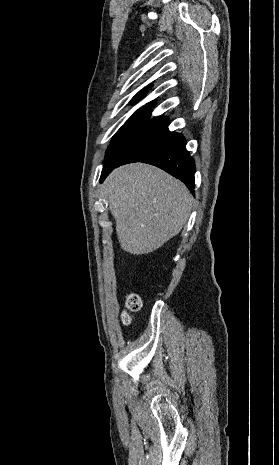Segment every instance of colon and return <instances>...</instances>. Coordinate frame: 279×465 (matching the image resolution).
<instances>
[{"label":"colon","mask_w":279,"mask_h":465,"mask_svg":"<svg viewBox=\"0 0 279 465\" xmlns=\"http://www.w3.org/2000/svg\"><path fill=\"white\" fill-rule=\"evenodd\" d=\"M125 306L127 311H124L122 314V322L125 325H128L131 323V315L129 312H135L140 310L142 306V301L141 298L138 294L136 293H129L125 297Z\"/></svg>","instance_id":"colon-1"}]
</instances>
